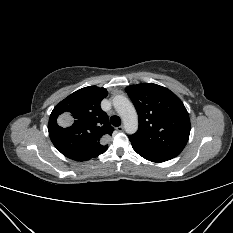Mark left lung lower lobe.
Wrapping results in <instances>:
<instances>
[{"label": "left lung lower lobe", "mask_w": 233, "mask_h": 233, "mask_svg": "<svg viewBox=\"0 0 233 233\" xmlns=\"http://www.w3.org/2000/svg\"><path fill=\"white\" fill-rule=\"evenodd\" d=\"M132 147L139 155H141L143 158H145V159H147L149 161L164 162V161H168V160L172 159V158H169V157H165V156H162V155H158V154L143 150V149L138 148V147L133 146V145H132Z\"/></svg>", "instance_id": "1"}]
</instances>
